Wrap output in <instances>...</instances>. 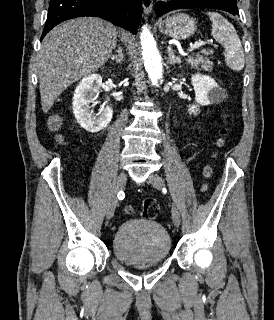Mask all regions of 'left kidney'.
Listing matches in <instances>:
<instances>
[{"label": "left kidney", "instance_id": "1", "mask_svg": "<svg viewBox=\"0 0 274 320\" xmlns=\"http://www.w3.org/2000/svg\"><path fill=\"white\" fill-rule=\"evenodd\" d=\"M191 84L195 92V102L192 106H187L189 114H198L200 106H209V104H218L224 98L222 88H219L213 78L195 74L191 78Z\"/></svg>", "mask_w": 274, "mask_h": 320}]
</instances>
